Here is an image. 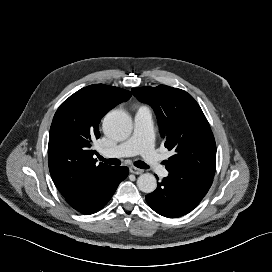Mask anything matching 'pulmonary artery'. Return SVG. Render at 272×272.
Wrapping results in <instances>:
<instances>
[{"label":"pulmonary artery","mask_w":272,"mask_h":272,"mask_svg":"<svg viewBox=\"0 0 272 272\" xmlns=\"http://www.w3.org/2000/svg\"><path fill=\"white\" fill-rule=\"evenodd\" d=\"M142 154L146 163L160 177L168 176L154 149L153 116L149 109L140 108L134 115V130L131 137L122 144L102 150L105 157H125Z\"/></svg>","instance_id":"1"}]
</instances>
